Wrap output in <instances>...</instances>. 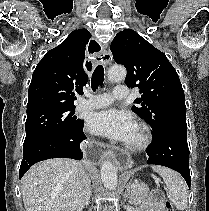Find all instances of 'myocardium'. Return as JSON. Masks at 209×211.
Segmentation results:
<instances>
[{"instance_id": "myocardium-1", "label": "myocardium", "mask_w": 209, "mask_h": 211, "mask_svg": "<svg viewBox=\"0 0 209 211\" xmlns=\"http://www.w3.org/2000/svg\"><path fill=\"white\" fill-rule=\"evenodd\" d=\"M137 138L132 142L126 143V148L130 151H141L146 149L151 141L152 134L149 126L144 122H138L136 124Z\"/></svg>"}]
</instances>
